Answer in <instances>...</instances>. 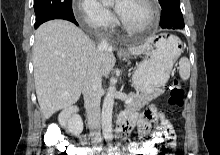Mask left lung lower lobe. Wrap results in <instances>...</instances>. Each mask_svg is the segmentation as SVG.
Segmentation results:
<instances>
[{
	"mask_svg": "<svg viewBox=\"0 0 220 155\" xmlns=\"http://www.w3.org/2000/svg\"><path fill=\"white\" fill-rule=\"evenodd\" d=\"M160 26L168 29L184 28V20L180 5H172L162 8Z\"/></svg>",
	"mask_w": 220,
	"mask_h": 155,
	"instance_id": "0a47b994",
	"label": "left lung lower lobe"
}]
</instances>
